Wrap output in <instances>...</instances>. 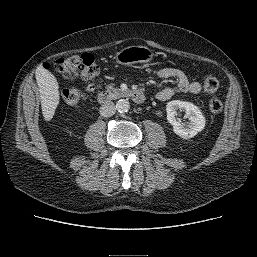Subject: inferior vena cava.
Segmentation results:
<instances>
[{
	"label": "inferior vena cava",
	"mask_w": 257,
	"mask_h": 257,
	"mask_svg": "<svg viewBox=\"0 0 257 257\" xmlns=\"http://www.w3.org/2000/svg\"><path fill=\"white\" fill-rule=\"evenodd\" d=\"M116 107L113 102L108 101L100 107V114L104 117H110L115 114Z\"/></svg>",
	"instance_id": "obj_1"
}]
</instances>
